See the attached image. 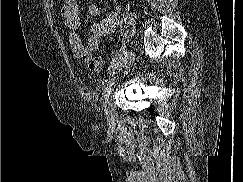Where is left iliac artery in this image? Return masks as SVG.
I'll use <instances>...</instances> for the list:
<instances>
[{
  "label": "left iliac artery",
  "instance_id": "44dca946",
  "mask_svg": "<svg viewBox=\"0 0 243 182\" xmlns=\"http://www.w3.org/2000/svg\"><path fill=\"white\" fill-rule=\"evenodd\" d=\"M113 85V82H110L107 87L104 89V97H107L109 96L110 94V91H111V86Z\"/></svg>",
  "mask_w": 243,
  "mask_h": 182
}]
</instances>
